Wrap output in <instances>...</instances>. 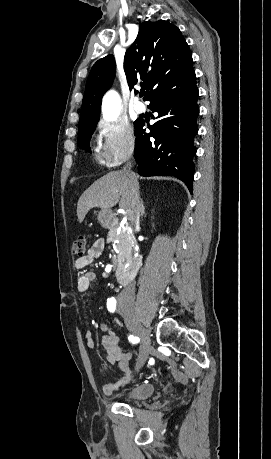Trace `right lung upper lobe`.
<instances>
[{
    "label": "right lung upper lobe",
    "instance_id": "1",
    "mask_svg": "<svg viewBox=\"0 0 271 459\" xmlns=\"http://www.w3.org/2000/svg\"><path fill=\"white\" fill-rule=\"evenodd\" d=\"M115 69L113 55L98 60L87 79L80 121L100 116L101 100L110 88ZM124 71L130 89L142 80L149 98L170 79L193 71L190 49L178 27L164 20L140 23L139 33L124 56ZM135 93H138L135 90Z\"/></svg>",
    "mask_w": 271,
    "mask_h": 459
}]
</instances>
